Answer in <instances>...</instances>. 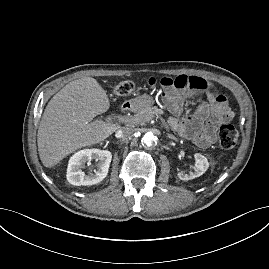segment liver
<instances>
[{"mask_svg": "<svg viewBox=\"0 0 269 269\" xmlns=\"http://www.w3.org/2000/svg\"><path fill=\"white\" fill-rule=\"evenodd\" d=\"M110 107L107 92L96 79L84 77L69 82L44 110L37 134L40 160L47 168L70 153L108 138L118 124L93 121Z\"/></svg>", "mask_w": 269, "mask_h": 269, "instance_id": "1", "label": "liver"}]
</instances>
